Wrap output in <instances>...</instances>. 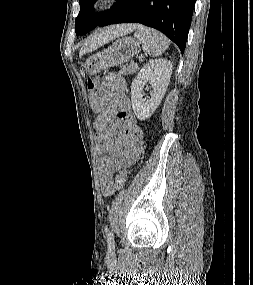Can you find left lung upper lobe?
<instances>
[{
	"instance_id": "1",
	"label": "left lung upper lobe",
	"mask_w": 253,
	"mask_h": 285,
	"mask_svg": "<svg viewBox=\"0 0 253 285\" xmlns=\"http://www.w3.org/2000/svg\"><path fill=\"white\" fill-rule=\"evenodd\" d=\"M95 0H79L80 12L75 20L76 35H84L96 26L100 25L108 12L93 15V3Z\"/></svg>"
}]
</instances>
